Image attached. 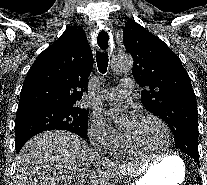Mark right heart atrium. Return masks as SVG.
<instances>
[{
	"instance_id": "obj_1",
	"label": "right heart atrium",
	"mask_w": 207,
	"mask_h": 185,
	"mask_svg": "<svg viewBox=\"0 0 207 185\" xmlns=\"http://www.w3.org/2000/svg\"><path fill=\"white\" fill-rule=\"evenodd\" d=\"M92 145L101 152H108L120 140V135L115 132L102 118L96 114L90 127Z\"/></svg>"
}]
</instances>
